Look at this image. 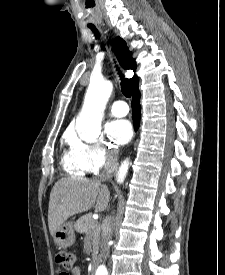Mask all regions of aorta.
<instances>
[{
  "label": "aorta",
  "instance_id": "aorta-1",
  "mask_svg": "<svg viewBox=\"0 0 225 275\" xmlns=\"http://www.w3.org/2000/svg\"><path fill=\"white\" fill-rule=\"evenodd\" d=\"M113 85L106 80H91L88 86L83 107L76 119L78 136L87 142H94L101 132L102 113L112 93ZM129 160L125 159L118 170L117 182L122 183L127 175ZM96 275H108L105 266L101 265Z\"/></svg>",
  "mask_w": 225,
  "mask_h": 275
}]
</instances>
